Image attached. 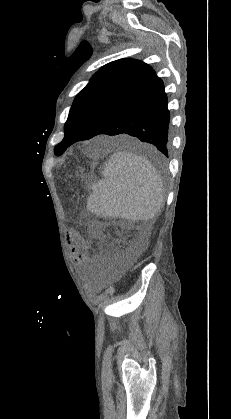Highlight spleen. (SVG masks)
I'll return each mask as SVG.
<instances>
[{
  "label": "spleen",
  "instance_id": "1",
  "mask_svg": "<svg viewBox=\"0 0 231 419\" xmlns=\"http://www.w3.org/2000/svg\"><path fill=\"white\" fill-rule=\"evenodd\" d=\"M92 190L87 208L98 216L151 220L164 202L163 182L155 167L127 151L111 156L105 163L103 179Z\"/></svg>",
  "mask_w": 231,
  "mask_h": 419
}]
</instances>
